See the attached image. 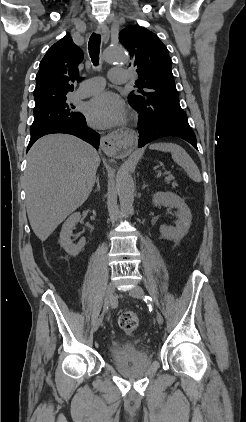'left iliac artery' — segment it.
<instances>
[{"label": "left iliac artery", "instance_id": "44dca946", "mask_svg": "<svg viewBox=\"0 0 246 422\" xmlns=\"http://www.w3.org/2000/svg\"><path fill=\"white\" fill-rule=\"evenodd\" d=\"M144 301H145L146 303H151V302H152V298H151V297H149V296H145Z\"/></svg>", "mask_w": 246, "mask_h": 422}]
</instances>
